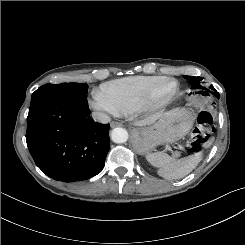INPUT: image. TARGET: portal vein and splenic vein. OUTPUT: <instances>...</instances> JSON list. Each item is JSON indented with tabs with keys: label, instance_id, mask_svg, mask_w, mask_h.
I'll return each instance as SVG.
<instances>
[{
	"label": "portal vein and splenic vein",
	"instance_id": "portal-vein-and-splenic-vein-1",
	"mask_svg": "<svg viewBox=\"0 0 245 245\" xmlns=\"http://www.w3.org/2000/svg\"><path fill=\"white\" fill-rule=\"evenodd\" d=\"M180 148L183 149L182 147H180ZM167 150H168V151H171V152L173 153L171 147L168 146V147H167Z\"/></svg>",
	"mask_w": 245,
	"mask_h": 245
}]
</instances>
